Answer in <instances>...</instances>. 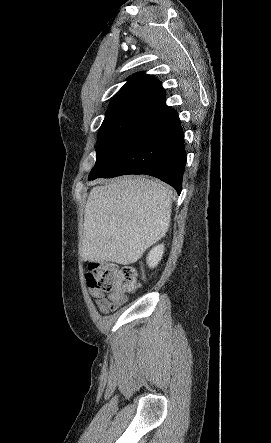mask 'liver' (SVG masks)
I'll use <instances>...</instances> for the list:
<instances>
[{
	"instance_id": "1",
	"label": "liver",
	"mask_w": 271,
	"mask_h": 443,
	"mask_svg": "<svg viewBox=\"0 0 271 443\" xmlns=\"http://www.w3.org/2000/svg\"><path fill=\"white\" fill-rule=\"evenodd\" d=\"M172 198L163 182L147 176H122L92 188L84 210L83 259L135 263L164 237Z\"/></svg>"
}]
</instances>
